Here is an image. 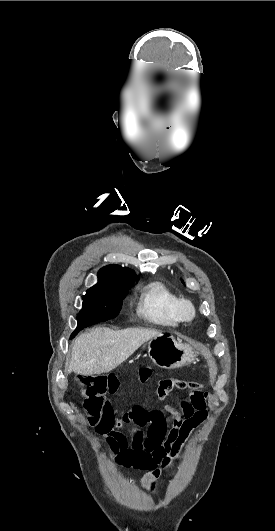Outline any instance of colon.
Instances as JSON below:
<instances>
[{"label": "colon", "instance_id": "1", "mask_svg": "<svg viewBox=\"0 0 275 531\" xmlns=\"http://www.w3.org/2000/svg\"><path fill=\"white\" fill-rule=\"evenodd\" d=\"M108 377H114L112 375H106L103 378L97 376L94 373L79 374L72 380V387L82 396H89L84 412V419L89 424H96L103 420V395L107 389ZM203 388V387H202ZM191 389V384L188 381H159L158 390L152 394L154 402H165L167 399L166 392H188ZM159 486V483H156ZM152 494V491H149Z\"/></svg>", "mask_w": 275, "mask_h": 531}]
</instances>
